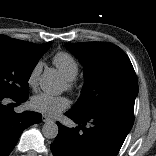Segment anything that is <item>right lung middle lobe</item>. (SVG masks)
I'll return each instance as SVG.
<instances>
[{
	"mask_svg": "<svg viewBox=\"0 0 156 156\" xmlns=\"http://www.w3.org/2000/svg\"><path fill=\"white\" fill-rule=\"evenodd\" d=\"M24 49L0 42V93L12 98L28 96V80L41 56Z\"/></svg>",
	"mask_w": 156,
	"mask_h": 156,
	"instance_id": "dd1d6c3e",
	"label": "right lung middle lobe"
}]
</instances>
